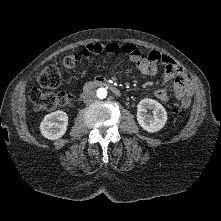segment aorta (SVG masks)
I'll use <instances>...</instances> for the list:
<instances>
[{"label":"aorta","instance_id":"762f6f07","mask_svg":"<svg viewBox=\"0 0 221 221\" xmlns=\"http://www.w3.org/2000/svg\"><path fill=\"white\" fill-rule=\"evenodd\" d=\"M107 96V90L105 88H99L97 90V97L100 99H104Z\"/></svg>","mask_w":221,"mask_h":221}]
</instances>
